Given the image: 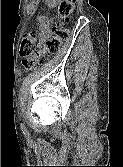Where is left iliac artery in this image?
<instances>
[{
	"label": "left iliac artery",
	"instance_id": "44dca946",
	"mask_svg": "<svg viewBox=\"0 0 123 167\" xmlns=\"http://www.w3.org/2000/svg\"><path fill=\"white\" fill-rule=\"evenodd\" d=\"M21 127H22V128H25V126H24L23 124H21Z\"/></svg>",
	"mask_w": 123,
	"mask_h": 167
}]
</instances>
